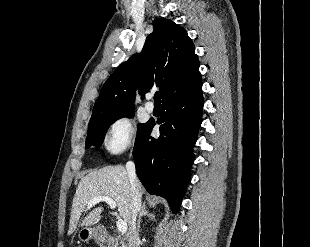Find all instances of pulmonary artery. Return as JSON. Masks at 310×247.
<instances>
[{"label":"pulmonary artery","mask_w":310,"mask_h":247,"mask_svg":"<svg viewBox=\"0 0 310 247\" xmlns=\"http://www.w3.org/2000/svg\"><path fill=\"white\" fill-rule=\"evenodd\" d=\"M145 110L149 113H152L154 111V104L150 101V98L145 103Z\"/></svg>","instance_id":"pulmonary-artery-1"}]
</instances>
